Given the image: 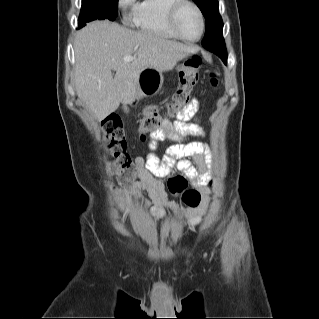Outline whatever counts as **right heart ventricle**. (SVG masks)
Here are the masks:
<instances>
[{"mask_svg": "<svg viewBox=\"0 0 319 319\" xmlns=\"http://www.w3.org/2000/svg\"><path fill=\"white\" fill-rule=\"evenodd\" d=\"M175 0H142L132 10V20L143 32L175 38L167 24V11Z\"/></svg>", "mask_w": 319, "mask_h": 319, "instance_id": "e07e8e85", "label": "right heart ventricle"}]
</instances>
